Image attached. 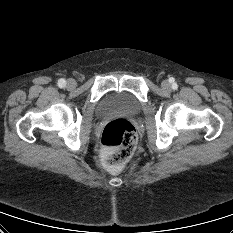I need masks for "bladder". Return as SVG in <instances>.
<instances>
[{"label": "bladder", "instance_id": "1", "mask_svg": "<svg viewBox=\"0 0 233 233\" xmlns=\"http://www.w3.org/2000/svg\"><path fill=\"white\" fill-rule=\"evenodd\" d=\"M140 108V101L132 94L126 92H111L99 101L97 113L99 115L112 113L135 114Z\"/></svg>", "mask_w": 233, "mask_h": 233}]
</instances>
